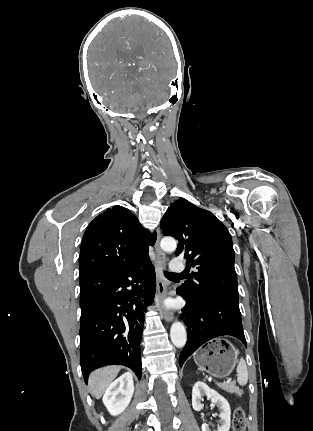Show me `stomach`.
I'll use <instances>...</instances> for the list:
<instances>
[{"label": "stomach", "mask_w": 313, "mask_h": 431, "mask_svg": "<svg viewBox=\"0 0 313 431\" xmlns=\"http://www.w3.org/2000/svg\"><path fill=\"white\" fill-rule=\"evenodd\" d=\"M238 352L223 339H214L194 355L197 366L216 378L230 375L237 363Z\"/></svg>", "instance_id": "1"}]
</instances>
